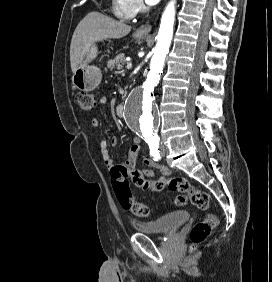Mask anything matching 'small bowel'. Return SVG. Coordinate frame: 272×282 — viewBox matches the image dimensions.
Here are the masks:
<instances>
[{"label":"small bowel","mask_w":272,"mask_h":282,"mask_svg":"<svg viewBox=\"0 0 272 282\" xmlns=\"http://www.w3.org/2000/svg\"><path fill=\"white\" fill-rule=\"evenodd\" d=\"M106 98H101L100 102L101 104H105L106 103ZM91 125L92 127H98L100 125V119L98 117H93L91 119ZM110 144L115 147L118 144V141L116 138H112L110 141ZM108 141L103 139L100 142V149H101V155L103 158V161L105 163L106 166L108 167H112L113 163H114V159L111 156V154L109 153L108 150ZM142 148V140L140 137H135L133 140V145L130 148L129 151V155L127 160L124 162L123 166H125L128 170H130L136 163V159H137V155L139 153V151ZM143 163L147 166H150L151 168H147L144 169L142 174L148 178H151L154 175V170L153 169H157L159 170L163 175H168L169 174V169L165 166L159 165L158 163L154 162L153 160H151L148 156H144L143 157ZM163 179V178H160ZM166 187V185L164 183H161L160 181H158V179L156 180H149L147 185L143 186V187H139L142 190H148L151 189L155 192H161L164 190V188Z\"/></svg>","instance_id":"c3829d8e"}]
</instances>
